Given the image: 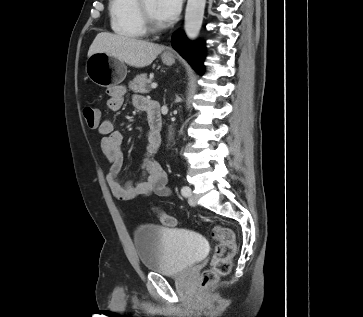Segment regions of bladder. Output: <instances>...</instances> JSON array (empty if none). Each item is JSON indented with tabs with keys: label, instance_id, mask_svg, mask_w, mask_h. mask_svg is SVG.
I'll return each instance as SVG.
<instances>
[{
	"label": "bladder",
	"instance_id": "bladder-1",
	"mask_svg": "<svg viewBox=\"0 0 363 317\" xmlns=\"http://www.w3.org/2000/svg\"><path fill=\"white\" fill-rule=\"evenodd\" d=\"M133 241L141 266L162 275L187 271L209 250L205 237L198 232L156 224L137 227Z\"/></svg>",
	"mask_w": 363,
	"mask_h": 317
}]
</instances>
